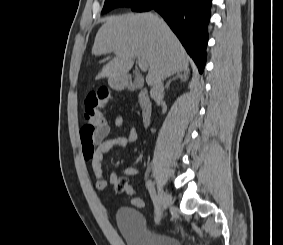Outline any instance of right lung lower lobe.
I'll use <instances>...</instances> for the list:
<instances>
[{
  "label": "right lung lower lobe",
  "mask_w": 283,
  "mask_h": 245,
  "mask_svg": "<svg viewBox=\"0 0 283 245\" xmlns=\"http://www.w3.org/2000/svg\"><path fill=\"white\" fill-rule=\"evenodd\" d=\"M211 3L212 0H145L133 6L132 10L155 9L159 12L202 73L206 63Z\"/></svg>",
  "instance_id": "1"
}]
</instances>
